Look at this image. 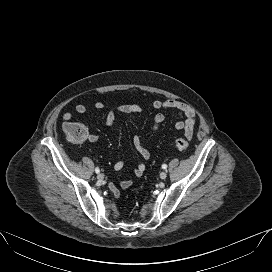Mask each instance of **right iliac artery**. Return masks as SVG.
<instances>
[{
	"label": "right iliac artery",
	"mask_w": 272,
	"mask_h": 272,
	"mask_svg": "<svg viewBox=\"0 0 272 272\" xmlns=\"http://www.w3.org/2000/svg\"><path fill=\"white\" fill-rule=\"evenodd\" d=\"M95 172H96V173H99V172H100V170H99L98 167L95 168Z\"/></svg>",
	"instance_id": "obj_1"
}]
</instances>
